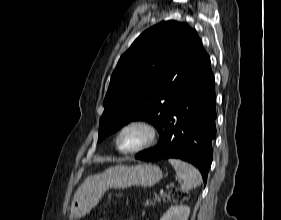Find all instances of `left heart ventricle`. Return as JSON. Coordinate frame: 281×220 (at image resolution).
I'll use <instances>...</instances> for the list:
<instances>
[{
    "label": "left heart ventricle",
    "instance_id": "1",
    "mask_svg": "<svg viewBox=\"0 0 281 220\" xmlns=\"http://www.w3.org/2000/svg\"><path fill=\"white\" fill-rule=\"evenodd\" d=\"M146 139V132L141 128L126 130L119 139V147L122 150L133 149L142 144Z\"/></svg>",
    "mask_w": 281,
    "mask_h": 220
}]
</instances>
